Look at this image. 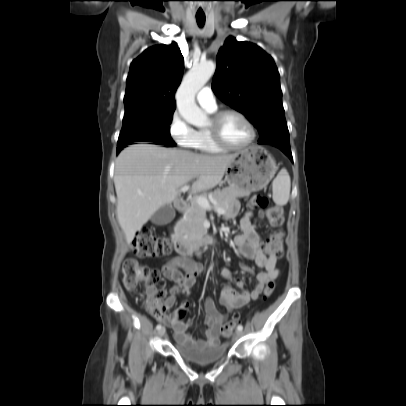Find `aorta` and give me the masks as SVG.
I'll return each mask as SVG.
<instances>
[{
	"instance_id": "aorta-1",
	"label": "aorta",
	"mask_w": 406,
	"mask_h": 406,
	"mask_svg": "<svg viewBox=\"0 0 406 406\" xmlns=\"http://www.w3.org/2000/svg\"><path fill=\"white\" fill-rule=\"evenodd\" d=\"M215 69L216 65L213 61L194 65L184 76L177 90L176 103L178 111L185 121L194 126L202 127L207 124V116L197 106L195 95L212 77Z\"/></svg>"
}]
</instances>
